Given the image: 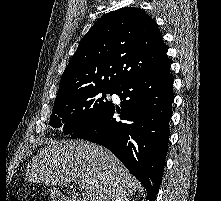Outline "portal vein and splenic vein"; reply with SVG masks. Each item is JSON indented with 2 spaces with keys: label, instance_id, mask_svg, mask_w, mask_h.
<instances>
[{
  "label": "portal vein and splenic vein",
  "instance_id": "1",
  "mask_svg": "<svg viewBox=\"0 0 221 201\" xmlns=\"http://www.w3.org/2000/svg\"><path fill=\"white\" fill-rule=\"evenodd\" d=\"M78 186H79L80 188H83V185H82L80 182H78Z\"/></svg>",
  "mask_w": 221,
  "mask_h": 201
}]
</instances>
